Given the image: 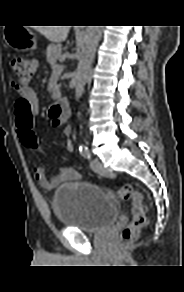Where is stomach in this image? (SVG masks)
<instances>
[{
    "instance_id": "stomach-1",
    "label": "stomach",
    "mask_w": 184,
    "mask_h": 292,
    "mask_svg": "<svg viewBox=\"0 0 184 292\" xmlns=\"http://www.w3.org/2000/svg\"><path fill=\"white\" fill-rule=\"evenodd\" d=\"M4 38L6 43L18 51L35 50L37 41L33 33L25 27H6Z\"/></svg>"
}]
</instances>
